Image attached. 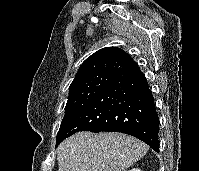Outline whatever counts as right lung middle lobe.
Segmentation results:
<instances>
[{
	"instance_id": "right-lung-middle-lobe-1",
	"label": "right lung middle lobe",
	"mask_w": 199,
	"mask_h": 171,
	"mask_svg": "<svg viewBox=\"0 0 199 171\" xmlns=\"http://www.w3.org/2000/svg\"><path fill=\"white\" fill-rule=\"evenodd\" d=\"M113 77L112 75L105 74L96 75L70 89L68 101L65 106V116L57 133L56 141H59L63 137L68 125L90 98Z\"/></svg>"
}]
</instances>
